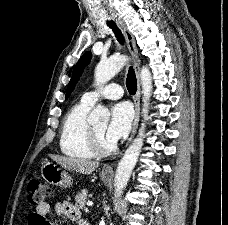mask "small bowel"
<instances>
[{"mask_svg": "<svg viewBox=\"0 0 228 225\" xmlns=\"http://www.w3.org/2000/svg\"><path fill=\"white\" fill-rule=\"evenodd\" d=\"M50 212V205L43 202L36 207L34 213L28 218V225H57L54 222H47V216ZM56 212L72 220H80V215L77 209L68 201L59 202L56 204ZM80 225V222H79Z\"/></svg>", "mask_w": 228, "mask_h": 225, "instance_id": "1", "label": "small bowel"}]
</instances>
